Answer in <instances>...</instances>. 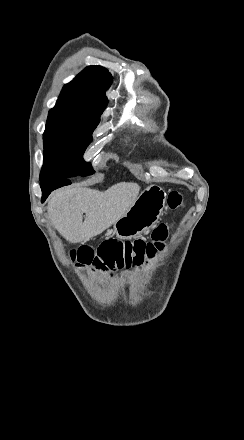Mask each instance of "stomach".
<instances>
[{
  "label": "stomach",
  "instance_id": "1",
  "mask_svg": "<svg viewBox=\"0 0 244 440\" xmlns=\"http://www.w3.org/2000/svg\"><path fill=\"white\" fill-rule=\"evenodd\" d=\"M166 192L160 186H148L141 192L126 214L113 224L114 234L120 240H132L145 234L157 224L165 208Z\"/></svg>",
  "mask_w": 244,
  "mask_h": 440
}]
</instances>
